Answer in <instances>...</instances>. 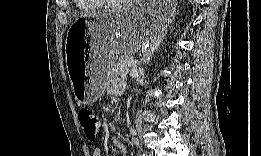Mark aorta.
<instances>
[{
	"instance_id": "762f6f07",
	"label": "aorta",
	"mask_w": 261,
	"mask_h": 156,
	"mask_svg": "<svg viewBox=\"0 0 261 156\" xmlns=\"http://www.w3.org/2000/svg\"><path fill=\"white\" fill-rule=\"evenodd\" d=\"M119 118V115H116V119Z\"/></svg>"
}]
</instances>
